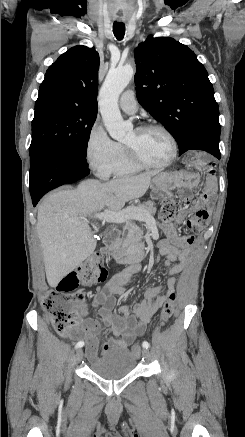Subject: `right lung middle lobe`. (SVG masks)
Returning a JSON list of instances; mask_svg holds the SVG:
<instances>
[{
	"label": "right lung middle lobe",
	"mask_w": 245,
	"mask_h": 437,
	"mask_svg": "<svg viewBox=\"0 0 245 437\" xmlns=\"http://www.w3.org/2000/svg\"><path fill=\"white\" fill-rule=\"evenodd\" d=\"M96 116V111L60 104L35 107L30 163L45 153L86 160L89 135Z\"/></svg>",
	"instance_id": "1"
}]
</instances>
